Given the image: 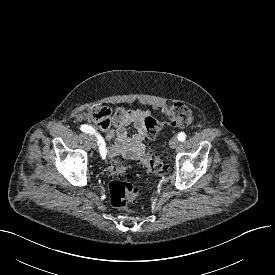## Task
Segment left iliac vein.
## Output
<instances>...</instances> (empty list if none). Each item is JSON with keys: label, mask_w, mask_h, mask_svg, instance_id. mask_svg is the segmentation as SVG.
<instances>
[{"label": "left iliac vein", "mask_w": 275, "mask_h": 275, "mask_svg": "<svg viewBox=\"0 0 275 275\" xmlns=\"http://www.w3.org/2000/svg\"><path fill=\"white\" fill-rule=\"evenodd\" d=\"M170 148L175 149L179 145V140L176 137H173L169 142Z\"/></svg>", "instance_id": "1"}]
</instances>
